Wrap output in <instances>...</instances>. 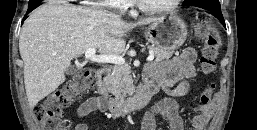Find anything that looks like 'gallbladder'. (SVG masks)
Here are the masks:
<instances>
[{
	"mask_svg": "<svg viewBox=\"0 0 257 130\" xmlns=\"http://www.w3.org/2000/svg\"><path fill=\"white\" fill-rule=\"evenodd\" d=\"M77 68L75 66H70L67 70H66V74L67 75H73L76 72Z\"/></svg>",
	"mask_w": 257,
	"mask_h": 130,
	"instance_id": "obj_1",
	"label": "gallbladder"
}]
</instances>
